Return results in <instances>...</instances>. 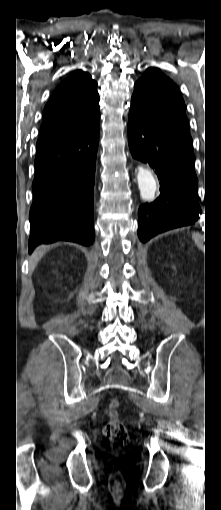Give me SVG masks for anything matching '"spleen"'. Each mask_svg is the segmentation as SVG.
<instances>
[{
    "mask_svg": "<svg viewBox=\"0 0 221 510\" xmlns=\"http://www.w3.org/2000/svg\"><path fill=\"white\" fill-rule=\"evenodd\" d=\"M193 239L198 247L203 248V237L199 233H194Z\"/></svg>",
    "mask_w": 221,
    "mask_h": 510,
    "instance_id": "3e777b00",
    "label": "spleen"
}]
</instances>
